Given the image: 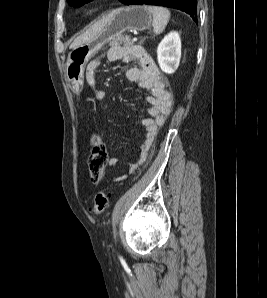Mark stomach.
<instances>
[{
	"mask_svg": "<svg viewBox=\"0 0 267 298\" xmlns=\"http://www.w3.org/2000/svg\"><path fill=\"white\" fill-rule=\"evenodd\" d=\"M103 30L90 41L73 48L67 59L66 77L72 90L79 94L83 89L84 70L87 62L112 38L125 31L149 29L152 14L144 7L133 5L116 9Z\"/></svg>",
	"mask_w": 267,
	"mask_h": 298,
	"instance_id": "1",
	"label": "stomach"
}]
</instances>
